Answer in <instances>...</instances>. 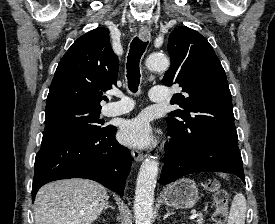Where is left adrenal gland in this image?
Segmentation results:
<instances>
[{
	"instance_id": "left-adrenal-gland-1",
	"label": "left adrenal gland",
	"mask_w": 275,
	"mask_h": 224,
	"mask_svg": "<svg viewBox=\"0 0 275 224\" xmlns=\"http://www.w3.org/2000/svg\"><path fill=\"white\" fill-rule=\"evenodd\" d=\"M166 210H167V213L163 217L164 220L167 219L170 215H173V213H171L168 208Z\"/></svg>"
}]
</instances>
